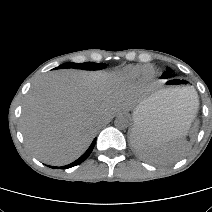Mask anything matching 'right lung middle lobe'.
<instances>
[{
  "mask_svg": "<svg viewBox=\"0 0 212 212\" xmlns=\"http://www.w3.org/2000/svg\"><path fill=\"white\" fill-rule=\"evenodd\" d=\"M106 67V64L103 63H93V62H85V63H73L68 62L64 63L54 69H62V68H78V69H85V70H100L104 69Z\"/></svg>",
  "mask_w": 212,
  "mask_h": 212,
  "instance_id": "obj_1",
  "label": "right lung middle lobe"
}]
</instances>
